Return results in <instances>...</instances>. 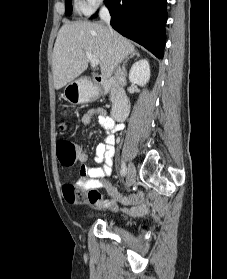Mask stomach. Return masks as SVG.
Instances as JSON below:
<instances>
[{
    "mask_svg": "<svg viewBox=\"0 0 227 279\" xmlns=\"http://www.w3.org/2000/svg\"><path fill=\"white\" fill-rule=\"evenodd\" d=\"M63 96L68 102L79 104L89 101L95 96V94L91 85L77 80L70 82L65 87Z\"/></svg>",
    "mask_w": 227,
    "mask_h": 279,
    "instance_id": "stomach-1",
    "label": "stomach"
}]
</instances>
